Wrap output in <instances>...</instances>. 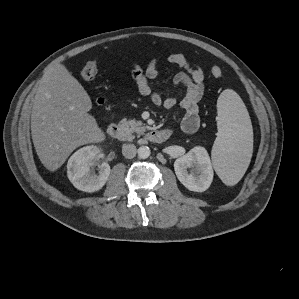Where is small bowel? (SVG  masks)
<instances>
[{
  "instance_id": "1",
  "label": "small bowel",
  "mask_w": 299,
  "mask_h": 299,
  "mask_svg": "<svg viewBox=\"0 0 299 299\" xmlns=\"http://www.w3.org/2000/svg\"><path fill=\"white\" fill-rule=\"evenodd\" d=\"M167 61L182 69V71L178 72L173 78L175 85H183L185 87V95L179 102L173 97L163 98L160 93L152 90L150 81L158 76L160 70L157 59L150 60L145 68L134 63L131 70L132 79L139 93L143 96L150 97L154 105H162L166 109H172L178 104L184 113L181 123L183 131L186 133H194L198 130L200 125L198 103L202 99L205 91L204 72L199 66L191 64L187 58L180 53L170 54Z\"/></svg>"
}]
</instances>
